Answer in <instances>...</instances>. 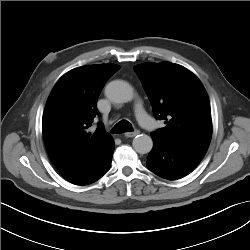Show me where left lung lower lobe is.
Here are the masks:
<instances>
[{
    "instance_id": "left-lung-lower-lobe-1",
    "label": "left lung lower lobe",
    "mask_w": 250,
    "mask_h": 250,
    "mask_svg": "<svg viewBox=\"0 0 250 250\" xmlns=\"http://www.w3.org/2000/svg\"><path fill=\"white\" fill-rule=\"evenodd\" d=\"M153 148L147 157V167L156 175L177 180L188 175L200 163L208 148L166 142L151 135Z\"/></svg>"
}]
</instances>
